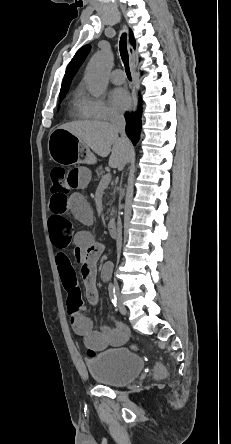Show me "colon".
<instances>
[{
  "label": "colon",
  "instance_id": "5ec220e1",
  "mask_svg": "<svg viewBox=\"0 0 231 444\" xmlns=\"http://www.w3.org/2000/svg\"><path fill=\"white\" fill-rule=\"evenodd\" d=\"M70 188L67 184V172L63 167L56 166L51 170V193L52 197L65 198L69 193ZM95 353L92 350L88 351V356H94ZM163 372L161 367L157 368V373Z\"/></svg>",
  "mask_w": 231,
  "mask_h": 444
}]
</instances>
